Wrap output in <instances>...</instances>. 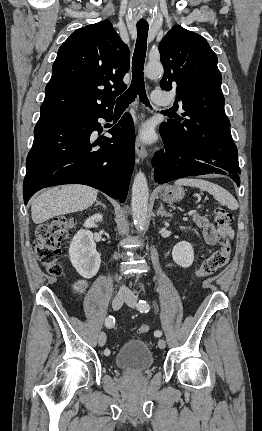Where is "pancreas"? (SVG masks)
I'll return each instance as SVG.
<instances>
[{
	"instance_id": "pancreas-1",
	"label": "pancreas",
	"mask_w": 262,
	"mask_h": 431,
	"mask_svg": "<svg viewBox=\"0 0 262 431\" xmlns=\"http://www.w3.org/2000/svg\"><path fill=\"white\" fill-rule=\"evenodd\" d=\"M199 217H198V215H194L193 216V221L195 222V223H199V219H198Z\"/></svg>"
}]
</instances>
